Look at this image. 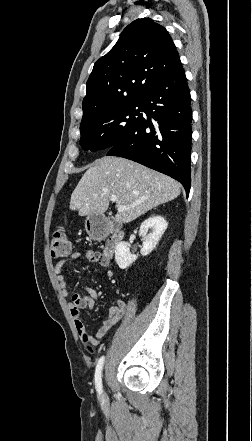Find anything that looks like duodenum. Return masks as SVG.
Masks as SVG:
<instances>
[{
    "label": "duodenum",
    "mask_w": 252,
    "mask_h": 441,
    "mask_svg": "<svg viewBox=\"0 0 252 441\" xmlns=\"http://www.w3.org/2000/svg\"><path fill=\"white\" fill-rule=\"evenodd\" d=\"M88 226L89 235L92 239L102 240L107 238L103 255L106 258L112 257L124 237V231L117 225L104 224L99 219L90 220Z\"/></svg>",
    "instance_id": "obj_1"
}]
</instances>
